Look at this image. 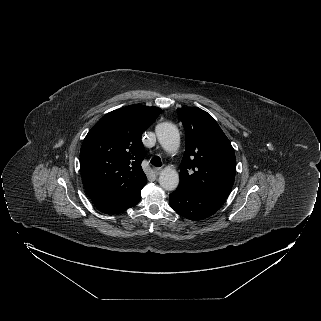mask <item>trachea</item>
<instances>
[{"label":"trachea","instance_id":"3493384b","mask_svg":"<svg viewBox=\"0 0 321 321\" xmlns=\"http://www.w3.org/2000/svg\"><path fill=\"white\" fill-rule=\"evenodd\" d=\"M150 162H151L152 165H154L156 167H160L161 164H162L161 163V159L158 156L153 157Z\"/></svg>","mask_w":321,"mask_h":321}]
</instances>
